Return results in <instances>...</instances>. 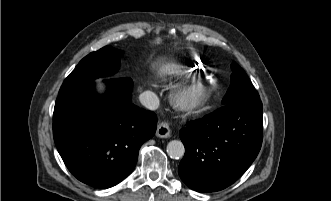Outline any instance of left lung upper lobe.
I'll return each mask as SVG.
<instances>
[{
  "label": "left lung upper lobe",
  "instance_id": "1",
  "mask_svg": "<svg viewBox=\"0 0 331 201\" xmlns=\"http://www.w3.org/2000/svg\"><path fill=\"white\" fill-rule=\"evenodd\" d=\"M231 84L222 100L223 105L259 99V95L244 70L236 64H231Z\"/></svg>",
  "mask_w": 331,
  "mask_h": 201
}]
</instances>
